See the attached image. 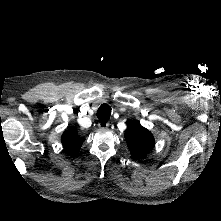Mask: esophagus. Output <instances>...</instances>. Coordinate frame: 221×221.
<instances>
[{"label": "esophagus", "instance_id": "1", "mask_svg": "<svg viewBox=\"0 0 221 221\" xmlns=\"http://www.w3.org/2000/svg\"><path fill=\"white\" fill-rule=\"evenodd\" d=\"M98 127L99 128H102V129H106V128H108L109 127V123L108 122H99L98 123Z\"/></svg>", "mask_w": 221, "mask_h": 221}]
</instances>
